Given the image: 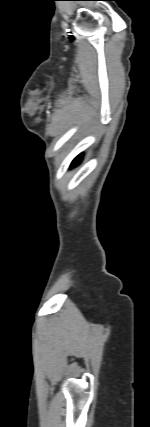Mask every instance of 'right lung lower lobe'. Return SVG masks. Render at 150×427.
I'll use <instances>...</instances> for the list:
<instances>
[{
    "mask_svg": "<svg viewBox=\"0 0 150 427\" xmlns=\"http://www.w3.org/2000/svg\"><path fill=\"white\" fill-rule=\"evenodd\" d=\"M80 160H81V156L79 155L73 160L71 166L73 167V166L77 165L80 162Z\"/></svg>",
    "mask_w": 150,
    "mask_h": 427,
    "instance_id": "obj_1",
    "label": "right lung lower lobe"
}]
</instances>
